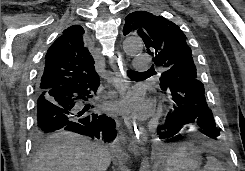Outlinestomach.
Returning <instances> with one entry per match:
<instances>
[{"mask_svg":"<svg viewBox=\"0 0 245 171\" xmlns=\"http://www.w3.org/2000/svg\"><path fill=\"white\" fill-rule=\"evenodd\" d=\"M200 164V151L193 146H183L169 153L162 167L163 171H195Z\"/></svg>","mask_w":245,"mask_h":171,"instance_id":"0dacf381","label":"stomach"}]
</instances>
